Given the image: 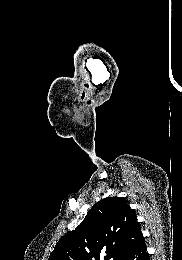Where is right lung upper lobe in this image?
Here are the masks:
<instances>
[{
  "mask_svg": "<svg viewBox=\"0 0 182 260\" xmlns=\"http://www.w3.org/2000/svg\"><path fill=\"white\" fill-rule=\"evenodd\" d=\"M143 241L136 214L127 201L106 197L57 242L48 260H120Z\"/></svg>",
  "mask_w": 182,
  "mask_h": 260,
  "instance_id": "right-lung-upper-lobe-1",
  "label": "right lung upper lobe"
}]
</instances>
